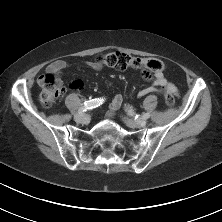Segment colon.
Listing matches in <instances>:
<instances>
[{
    "label": "colon",
    "instance_id": "colon-1",
    "mask_svg": "<svg viewBox=\"0 0 222 222\" xmlns=\"http://www.w3.org/2000/svg\"><path fill=\"white\" fill-rule=\"evenodd\" d=\"M101 66H107L118 70L126 69H147L151 72H160L164 69L163 63L156 58H139L126 55L121 52H109L101 54L96 61ZM41 92L39 101L44 108H51L56 100L64 93L65 85L58 76L53 73L44 75L39 80ZM166 104H174V96L163 88Z\"/></svg>",
    "mask_w": 222,
    "mask_h": 222
}]
</instances>
